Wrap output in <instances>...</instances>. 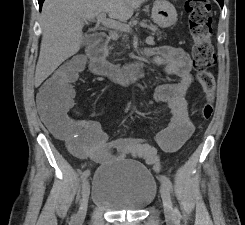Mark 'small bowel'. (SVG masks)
Masks as SVG:
<instances>
[{"instance_id": "1", "label": "small bowel", "mask_w": 245, "mask_h": 225, "mask_svg": "<svg viewBox=\"0 0 245 225\" xmlns=\"http://www.w3.org/2000/svg\"><path fill=\"white\" fill-rule=\"evenodd\" d=\"M156 66H164L165 73L178 78L176 83L159 85L154 98L166 103L171 117L168 125L153 139L117 138L110 140L101 123L97 120L69 121L75 130L76 145L71 152L82 160H92L99 164H108L117 158L143 159L154 171H159V160L154 141L164 152L174 153L191 137L194 124L188 116L187 95L194 81L192 61L186 50L173 46H158L146 51ZM80 61V69L83 60ZM74 90L70 89L66 98L56 102L52 97L37 92V102L45 122H63L64 114L74 105ZM116 151V152H113Z\"/></svg>"}]
</instances>
